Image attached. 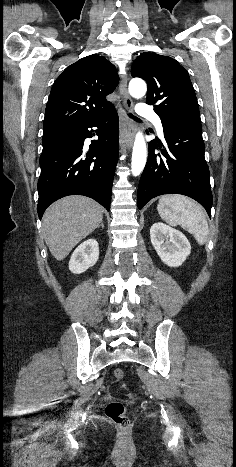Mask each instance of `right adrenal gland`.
Masks as SVG:
<instances>
[{
	"label": "right adrenal gland",
	"instance_id": "2a0ac1e0",
	"mask_svg": "<svg viewBox=\"0 0 236 467\" xmlns=\"http://www.w3.org/2000/svg\"><path fill=\"white\" fill-rule=\"evenodd\" d=\"M100 226H101L102 228H104V224H103V222L100 224Z\"/></svg>",
	"mask_w": 236,
	"mask_h": 467
}]
</instances>
